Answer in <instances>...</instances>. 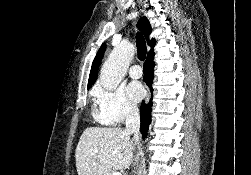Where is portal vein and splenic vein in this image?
<instances>
[{
  "label": "portal vein and splenic vein",
  "instance_id": "portal-vein-and-splenic-vein-1",
  "mask_svg": "<svg viewBox=\"0 0 251 175\" xmlns=\"http://www.w3.org/2000/svg\"><path fill=\"white\" fill-rule=\"evenodd\" d=\"M110 175H122L121 171H113Z\"/></svg>",
  "mask_w": 251,
  "mask_h": 175
}]
</instances>
